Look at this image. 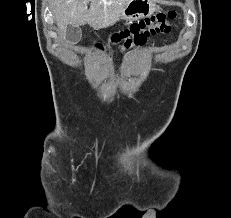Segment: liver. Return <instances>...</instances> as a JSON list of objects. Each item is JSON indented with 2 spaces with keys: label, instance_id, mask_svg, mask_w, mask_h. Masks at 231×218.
<instances>
[{
  "label": "liver",
  "instance_id": "6515ba94",
  "mask_svg": "<svg viewBox=\"0 0 231 218\" xmlns=\"http://www.w3.org/2000/svg\"><path fill=\"white\" fill-rule=\"evenodd\" d=\"M91 2L88 9V3ZM128 0H52L51 8L61 39L66 38L68 25L75 27L87 23L94 29L112 26Z\"/></svg>",
  "mask_w": 231,
  "mask_h": 218
}]
</instances>
